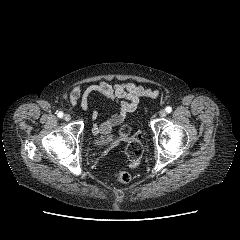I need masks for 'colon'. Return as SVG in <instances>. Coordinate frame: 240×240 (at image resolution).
<instances>
[{
    "instance_id": "obj_1",
    "label": "colon",
    "mask_w": 240,
    "mask_h": 240,
    "mask_svg": "<svg viewBox=\"0 0 240 240\" xmlns=\"http://www.w3.org/2000/svg\"><path fill=\"white\" fill-rule=\"evenodd\" d=\"M131 134V129L128 126L121 128V135L128 138ZM126 153L130 160L131 166L135 167L140 161L142 155V145L136 139H128L126 142ZM115 178L120 183H128L131 179L130 174L125 170H118L115 172Z\"/></svg>"
}]
</instances>
